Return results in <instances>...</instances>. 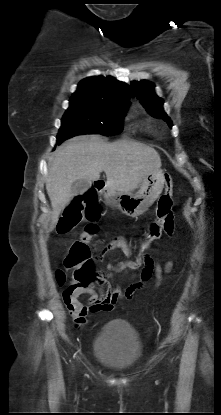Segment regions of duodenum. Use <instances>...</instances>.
I'll use <instances>...</instances> for the list:
<instances>
[{
  "instance_id": "1",
  "label": "duodenum",
  "mask_w": 221,
  "mask_h": 415,
  "mask_svg": "<svg viewBox=\"0 0 221 415\" xmlns=\"http://www.w3.org/2000/svg\"><path fill=\"white\" fill-rule=\"evenodd\" d=\"M94 188L99 191L102 192L105 189V182L103 180H97L94 182Z\"/></svg>"
}]
</instances>
